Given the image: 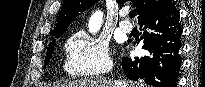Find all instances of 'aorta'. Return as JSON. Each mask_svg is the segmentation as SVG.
<instances>
[{
    "mask_svg": "<svg viewBox=\"0 0 205 87\" xmlns=\"http://www.w3.org/2000/svg\"><path fill=\"white\" fill-rule=\"evenodd\" d=\"M102 20H103V12L100 10L95 11L89 19V23H88L89 31L91 33H96L97 31H99L102 25Z\"/></svg>",
    "mask_w": 205,
    "mask_h": 87,
    "instance_id": "1",
    "label": "aorta"
}]
</instances>
